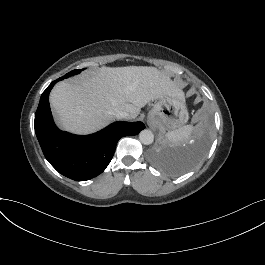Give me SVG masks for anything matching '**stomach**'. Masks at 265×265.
I'll return each instance as SVG.
<instances>
[{
	"label": "stomach",
	"mask_w": 265,
	"mask_h": 265,
	"mask_svg": "<svg viewBox=\"0 0 265 265\" xmlns=\"http://www.w3.org/2000/svg\"><path fill=\"white\" fill-rule=\"evenodd\" d=\"M185 99L164 97L156 100L148 114V122L161 131L180 128L188 121Z\"/></svg>",
	"instance_id": "stomach-1"
}]
</instances>
